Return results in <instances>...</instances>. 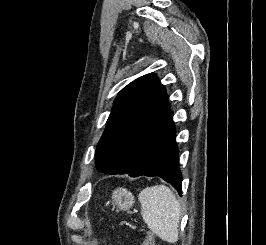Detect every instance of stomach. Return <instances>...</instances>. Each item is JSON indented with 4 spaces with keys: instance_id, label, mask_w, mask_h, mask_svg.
<instances>
[{
    "instance_id": "1",
    "label": "stomach",
    "mask_w": 266,
    "mask_h": 245,
    "mask_svg": "<svg viewBox=\"0 0 266 245\" xmlns=\"http://www.w3.org/2000/svg\"><path fill=\"white\" fill-rule=\"evenodd\" d=\"M111 201L117 211H127V213L135 203L132 193L128 189H123V187H118V189L112 191Z\"/></svg>"
}]
</instances>
